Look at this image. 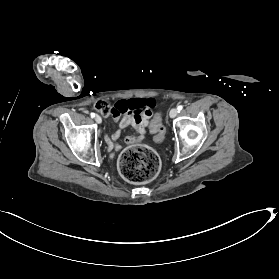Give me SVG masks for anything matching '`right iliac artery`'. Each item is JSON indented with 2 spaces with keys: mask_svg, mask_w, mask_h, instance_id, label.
Returning <instances> with one entry per match:
<instances>
[{
  "mask_svg": "<svg viewBox=\"0 0 279 279\" xmlns=\"http://www.w3.org/2000/svg\"><path fill=\"white\" fill-rule=\"evenodd\" d=\"M90 116H91L92 118L95 117V113L92 112V113L90 114Z\"/></svg>",
  "mask_w": 279,
  "mask_h": 279,
  "instance_id": "right-iliac-artery-1",
  "label": "right iliac artery"
}]
</instances>
